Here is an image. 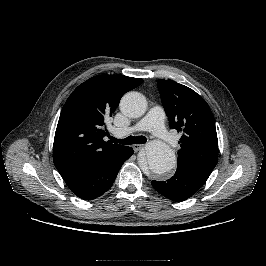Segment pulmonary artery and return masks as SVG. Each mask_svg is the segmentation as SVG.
<instances>
[{
	"mask_svg": "<svg viewBox=\"0 0 266 266\" xmlns=\"http://www.w3.org/2000/svg\"><path fill=\"white\" fill-rule=\"evenodd\" d=\"M164 120V110L160 106L155 105L150 108L146 116L139 123L125 129L115 130V132L119 131L122 135H127L135 132L149 131L162 140L168 147L174 149L177 146V142L166 131Z\"/></svg>",
	"mask_w": 266,
	"mask_h": 266,
	"instance_id": "1",
	"label": "pulmonary artery"
}]
</instances>
